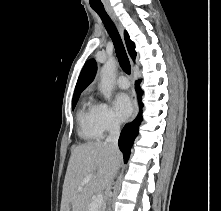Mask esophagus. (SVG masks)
Segmentation results:
<instances>
[{
  "label": "esophagus",
  "instance_id": "esophagus-1",
  "mask_svg": "<svg viewBox=\"0 0 221 211\" xmlns=\"http://www.w3.org/2000/svg\"><path fill=\"white\" fill-rule=\"evenodd\" d=\"M107 12L111 16V18L114 21V23H115L116 27L118 28L119 32L123 33V27H122L118 17L113 12V10L112 9H107ZM132 104H133V112H132V115L130 117V122L135 119V117L137 115V112H138V104H137V99H136L135 94L132 96Z\"/></svg>",
  "mask_w": 221,
  "mask_h": 211
}]
</instances>
